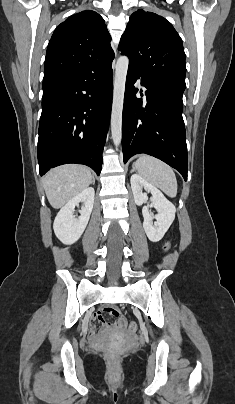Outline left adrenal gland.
Wrapping results in <instances>:
<instances>
[{"instance_id": "left-adrenal-gland-1", "label": "left adrenal gland", "mask_w": 235, "mask_h": 404, "mask_svg": "<svg viewBox=\"0 0 235 404\" xmlns=\"http://www.w3.org/2000/svg\"><path fill=\"white\" fill-rule=\"evenodd\" d=\"M134 171H135V168H134V166H132V170H131L130 172L132 173V172H134Z\"/></svg>"}]
</instances>
